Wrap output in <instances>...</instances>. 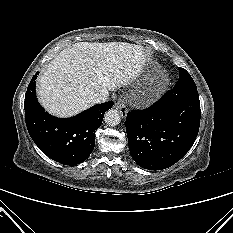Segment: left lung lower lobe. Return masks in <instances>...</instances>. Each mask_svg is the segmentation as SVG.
<instances>
[{"label": "left lung lower lobe", "mask_w": 233, "mask_h": 233, "mask_svg": "<svg viewBox=\"0 0 233 233\" xmlns=\"http://www.w3.org/2000/svg\"><path fill=\"white\" fill-rule=\"evenodd\" d=\"M200 117L197 90H169L149 108L128 112L125 125L132 158L148 170L172 166L193 145Z\"/></svg>", "instance_id": "left-lung-lower-lobe-1"}]
</instances>
